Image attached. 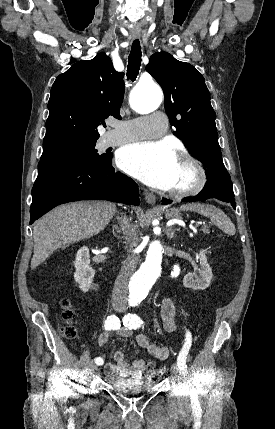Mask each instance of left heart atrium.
<instances>
[{"label": "left heart atrium", "instance_id": "left-heart-atrium-1", "mask_svg": "<svg viewBox=\"0 0 275 429\" xmlns=\"http://www.w3.org/2000/svg\"><path fill=\"white\" fill-rule=\"evenodd\" d=\"M174 149L166 142L141 141L128 144L117 155L118 166L145 184L169 190L177 166Z\"/></svg>", "mask_w": 275, "mask_h": 429}]
</instances>
